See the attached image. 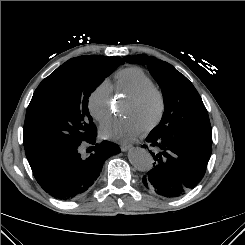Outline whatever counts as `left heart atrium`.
Returning a JSON list of instances; mask_svg holds the SVG:
<instances>
[{"label": "left heart atrium", "instance_id": "39dd6f15", "mask_svg": "<svg viewBox=\"0 0 245 245\" xmlns=\"http://www.w3.org/2000/svg\"><path fill=\"white\" fill-rule=\"evenodd\" d=\"M100 133L106 138L132 140L141 133V130L129 120H116L105 122L100 128Z\"/></svg>", "mask_w": 245, "mask_h": 245}]
</instances>
